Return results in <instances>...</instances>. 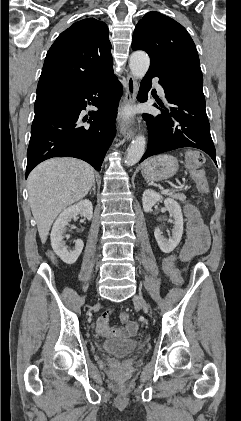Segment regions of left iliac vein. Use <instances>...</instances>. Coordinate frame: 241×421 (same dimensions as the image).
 <instances>
[{
	"label": "left iliac vein",
	"mask_w": 241,
	"mask_h": 421,
	"mask_svg": "<svg viewBox=\"0 0 241 421\" xmlns=\"http://www.w3.org/2000/svg\"><path fill=\"white\" fill-rule=\"evenodd\" d=\"M135 304L139 305L144 311H149V305L146 303L144 298L141 295H135L133 297Z\"/></svg>",
	"instance_id": "left-iliac-vein-1"
}]
</instances>
